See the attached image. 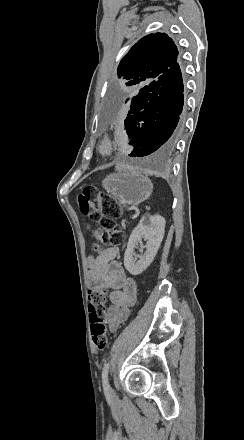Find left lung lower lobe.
Listing matches in <instances>:
<instances>
[{
	"mask_svg": "<svg viewBox=\"0 0 244 440\" xmlns=\"http://www.w3.org/2000/svg\"><path fill=\"white\" fill-rule=\"evenodd\" d=\"M129 86V85H127ZM183 82L178 62L157 80L120 99L116 107H129L125 129L134 150L129 156L170 151L182 130Z\"/></svg>",
	"mask_w": 244,
	"mask_h": 440,
	"instance_id": "obj_1",
	"label": "left lung lower lobe"
}]
</instances>
